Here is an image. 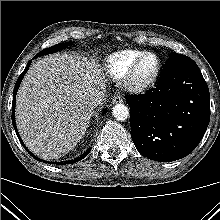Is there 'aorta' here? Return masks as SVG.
<instances>
[{"label":"aorta","instance_id":"obj_1","mask_svg":"<svg viewBox=\"0 0 220 220\" xmlns=\"http://www.w3.org/2000/svg\"><path fill=\"white\" fill-rule=\"evenodd\" d=\"M113 116L118 121H124L129 117V110L126 105L119 103L113 107Z\"/></svg>","mask_w":220,"mask_h":220}]
</instances>
